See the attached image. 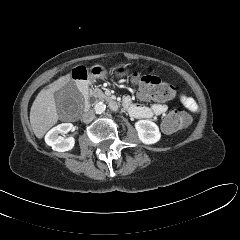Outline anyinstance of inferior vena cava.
Masks as SVG:
<instances>
[{
    "label": "inferior vena cava",
    "mask_w": 240,
    "mask_h": 240,
    "mask_svg": "<svg viewBox=\"0 0 240 240\" xmlns=\"http://www.w3.org/2000/svg\"><path fill=\"white\" fill-rule=\"evenodd\" d=\"M95 118V113L93 110H90L83 114L82 121L84 123H90Z\"/></svg>",
    "instance_id": "inferior-vena-cava-1"
}]
</instances>
